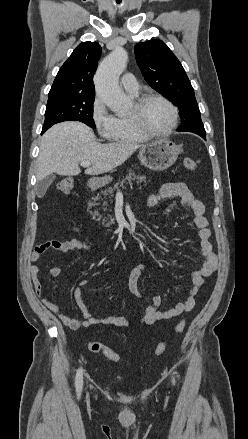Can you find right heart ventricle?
<instances>
[{"label": "right heart ventricle", "instance_id": "obj_1", "mask_svg": "<svg viewBox=\"0 0 248 439\" xmlns=\"http://www.w3.org/2000/svg\"><path fill=\"white\" fill-rule=\"evenodd\" d=\"M111 139L117 143H142L148 137L140 133L133 125L130 116L117 118V125Z\"/></svg>", "mask_w": 248, "mask_h": 439}]
</instances>
